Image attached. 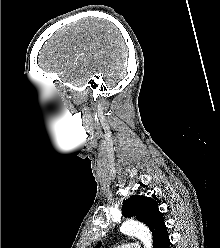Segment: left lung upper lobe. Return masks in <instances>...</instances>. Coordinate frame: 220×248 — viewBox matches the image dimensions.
Wrapping results in <instances>:
<instances>
[{
    "mask_svg": "<svg viewBox=\"0 0 220 248\" xmlns=\"http://www.w3.org/2000/svg\"><path fill=\"white\" fill-rule=\"evenodd\" d=\"M122 215L135 216L138 221L145 223L151 230L155 242L165 226L163 214L158 209V203L143 195H133L123 202ZM101 243L96 248H99Z\"/></svg>",
    "mask_w": 220,
    "mask_h": 248,
    "instance_id": "5c2ea615",
    "label": "left lung upper lobe"
}]
</instances>
